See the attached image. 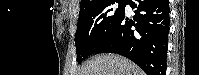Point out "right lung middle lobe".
I'll return each instance as SVG.
<instances>
[{"label": "right lung middle lobe", "instance_id": "dd1d6c3e", "mask_svg": "<svg viewBox=\"0 0 199 75\" xmlns=\"http://www.w3.org/2000/svg\"><path fill=\"white\" fill-rule=\"evenodd\" d=\"M126 0H107L89 10L80 12L75 44L77 61L80 64L115 29L125 12Z\"/></svg>", "mask_w": 199, "mask_h": 75}]
</instances>
